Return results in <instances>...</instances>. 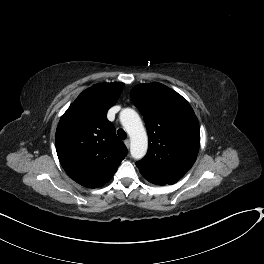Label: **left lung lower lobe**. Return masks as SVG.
Returning <instances> with one entry per match:
<instances>
[{
    "label": "left lung lower lobe",
    "instance_id": "0a47b994",
    "mask_svg": "<svg viewBox=\"0 0 264 264\" xmlns=\"http://www.w3.org/2000/svg\"><path fill=\"white\" fill-rule=\"evenodd\" d=\"M149 182L153 183V184H157V185H164V183H160V182H156V181H151V180H148Z\"/></svg>",
    "mask_w": 264,
    "mask_h": 264
}]
</instances>
